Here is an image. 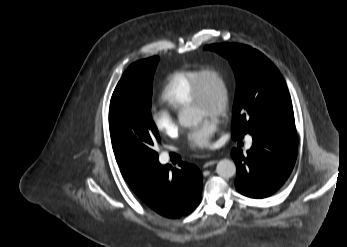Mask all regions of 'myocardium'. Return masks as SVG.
I'll use <instances>...</instances> for the list:
<instances>
[{
	"instance_id": "myocardium-1",
	"label": "myocardium",
	"mask_w": 347,
	"mask_h": 247,
	"mask_svg": "<svg viewBox=\"0 0 347 247\" xmlns=\"http://www.w3.org/2000/svg\"><path fill=\"white\" fill-rule=\"evenodd\" d=\"M209 77H213L220 88V99L212 111V115L224 117L228 114L231 105V88L228 78L224 73L215 67H205L200 69L196 79L190 106L207 108L206 82Z\"/></svg>"
}]
</instances>
